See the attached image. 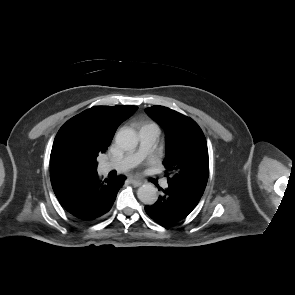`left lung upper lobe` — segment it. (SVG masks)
<instances>
[{
    "label": "left lung upper lobe",
    "mask_w": 295,
    "mask_h": 295,
    "mask_svg": "<svg viewBox=\"0 0 295 295\" xmlns=\"http://www.w3.org/2000/svg\"><path fill=\"white\" fill-rule=\"evenodd\" d=\"M145 112L165 132V176L168 183L182 188L205 190L209 176V156L205 136L191 118L164 106Z\"/></svg>",
    "instance_id": "obj_1"
}]
</instances>
